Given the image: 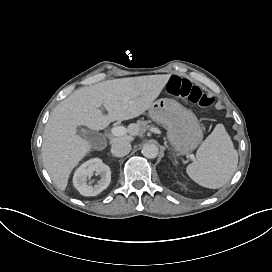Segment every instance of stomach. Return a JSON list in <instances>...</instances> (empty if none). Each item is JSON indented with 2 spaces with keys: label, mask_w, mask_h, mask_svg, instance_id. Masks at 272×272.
Returning a JSON list of instances; mask_svg holds the SVG:
<instances>
[{
  "label": "stomach",
  "mask_w": 272,
  "mask_h": 272,
  "mask_svg": "<svg viewBox=\"0 0 272 272\" xmlns=\"http://www.w3.org/2000/svg\"><path fill=\"white\" fill-rule=\"evenodd\" d=\"M151 118L167 130L175 155L193 152L203 141V130L196 115L172 99H159L149 109Z\"/></svg>",
  "instance_id": "stomach-1"
}]
</instances>
